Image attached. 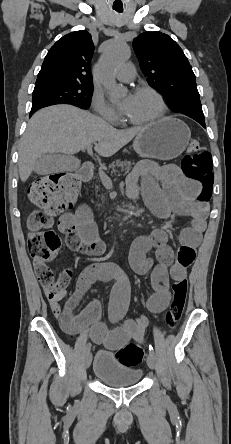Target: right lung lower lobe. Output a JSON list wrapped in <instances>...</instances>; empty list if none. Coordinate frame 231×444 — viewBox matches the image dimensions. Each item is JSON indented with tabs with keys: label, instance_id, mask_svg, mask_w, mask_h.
<instances>
[{
	"label": "right lung lower lobe",
	"instance_id": "right-lung-lower-lobe-1",
	"mask_svg": "<svg viewBox=\"0 0 231 444\" xmlns=\"http://www.w3.org/2000/svg\"><path fill=\"white\" fill-rule=\"evenodd\" d=\"M35 111H31V113H30V117H31V115L34 113Z\"/></svg>",
	"mask_w": 231,
	"mask_h": 444
}]
</instances>
